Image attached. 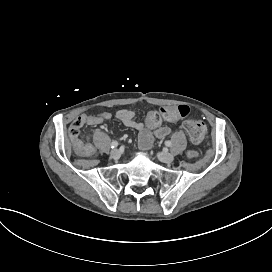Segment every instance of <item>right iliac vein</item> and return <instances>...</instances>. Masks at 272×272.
Instances as JSON below:
<instances>
[{
  "label": "right iliac vein",
  "mask_w": 272,
  "mask_h": 272,
  "mask_svg": "<svg viewBox=\"0 0 272 272\" xmlns=\"http://www.w3.org/2000/svg\"><path fill=\"white\" fill-rule=\"evenodd\" d=\"M110 156L113 158V159H118L120 158V151L118 149H113L111 152H110Z\"/></svg>",
  "instance_id": "1"
}]
</instances>
